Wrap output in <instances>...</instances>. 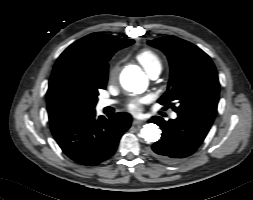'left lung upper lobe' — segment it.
I'll list each match as a JSON object with an SVG mask.
<instances>
[{
    "mask_svg": "<svg viewBox=\"0 0 253 200\" xmlns=\"http://www.w3.org/2000/svg\"><path fill=\"white\" fill-rule=\"evenodd\" d=\"M148 44L162 50L171 67L168 90L158 102L173 107L177 114L215 118L220 84L210 57L194 44L174 36L157 38Z\"/></svg>",
    "mask_w": 253,
    "mask_h": 200,
    "instance_id": "left-lung-upper-lobe-1",
    "label": "left lung upper lobe"
}]
</instances>
